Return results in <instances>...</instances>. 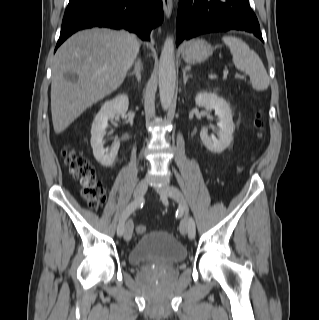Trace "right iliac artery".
Instances as JSON below:
<instances>
[{
  "label": "right iliac artery",
  "instance_id": "82829eb1",
  "mask_svg": "<svg viewBox=\"0 0 319 320\" xmlns=\"http://www.w3.org/2000/svg\"><path fill=\"white\" fill-rule=\"evenodd\" d=\"M144 203V199L140 198V199H135L134 201H132L127 207L126 209L123 211L121 219L119 221L118 227H117V234L118 236H122L123 232H124V224L125 221L127 220V218L138 208V207H142Z\"/></svg>",
  "mask_w": 319,
  "mask_h": 320
}]
</instances>
